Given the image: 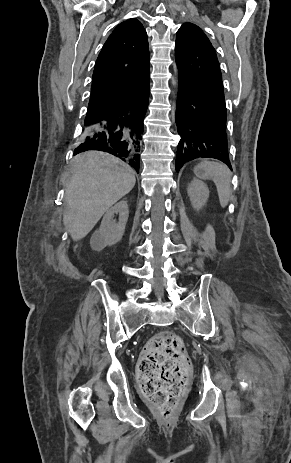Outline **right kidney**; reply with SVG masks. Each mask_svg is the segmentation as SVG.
I'll use <instances>...</instances> for the list:
<instances>
[{"label": "right kidney", "mask_w": 291, "mask_h": 463, "mask_svg": "<svg viewBox=\"0 0 291 463\" xmlns=\"http://www.w3.org/2000/svg\"><path fill=\"white\" fill-rule=\"evenodd\" d=\"M119 215V221L116 222L113 217ZM129 210L126 201H120L115 206L108 209L101 221V225L96 230L90 240V245L94 250H102L107 245L111 246L118 243L124 234L125 226L128 220Z\"/></svg>", "instance_id": "obj_1"}]
</instances>
